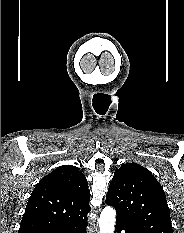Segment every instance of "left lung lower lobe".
<instances>
[{
    "label": "left lung lower lobe",
    "instance_id": "0a47b994",
    "mask_svg": "<svg viewBox=\"0 0 184 233\" xmlns=\"http://www.w3.org/2000/svg\"><path fill=\"white\" fill-rule=\"evenodd\" d=\"M122 230H124L125 233H137L129 227L125 221L117 217L115 233H121Z\"/></svg>",
    "mask_w": 184,
    "mask_h": 233
}]
</instances>
